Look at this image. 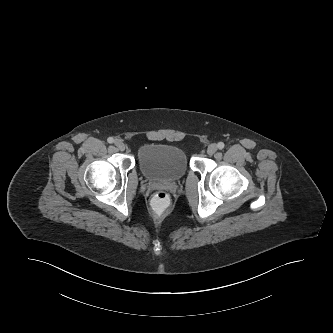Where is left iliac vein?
Returning a JSON list of instances; mask_svg holds the SVG:
<instances>
[{"mask_svg":"<svg viewBox=\"0 0 333 333\" xmlns=\"http://www.w3.org/2000/svg\"><path fill=\"white\" fill-rule=\"evenodd\" d=\"M216 151H217V145H216V144H210V145L208 146V148H207V153H208L209 155H213V154H215Z\"/></svg>","mask_w":333,"mask_h":333,"instance_id":"1","label":"left iliac vein"}]
</instances>
